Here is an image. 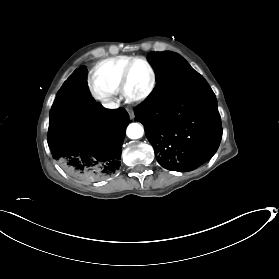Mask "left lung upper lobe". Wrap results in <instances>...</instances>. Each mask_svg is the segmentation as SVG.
<instances>
[{"label": "left lung upper lobe", "instance_id": "left-lung-upper-lobe-1", "mask_svg": "<svg viewBox=\"0 0 279 279\" xmlns=\"http://www.w3.org/2000/svg\"><path fill=\"white\" fill-rule=\"evenodd\" d=\"M149 60L156 70V86L144 101L146 104H154L166 100L180 91L189 81L200 76L177 53H150Z\"/></svg>", "mask_w": 279, "mask_h": 279}]
</instances>
